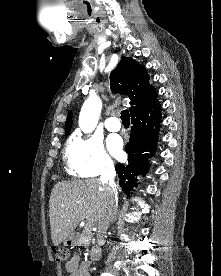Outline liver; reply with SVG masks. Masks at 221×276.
<instances>
[{
    "mask_svg": "<svg viewBox=\"0 0 221 276\" xmlns=\"http://www.w3.org/2000/svg\"><path fill=\"white\" fill-rule=\"evenodd\" d=\"M107 188L100 179L61 181L49 200L51 238L55 246L67 239L80 221L98 222L105 210Z\"/></svg>",
    "mask_w": 221,
    "mask_h": 276,
    "instance_id": "1",
    "label": "liver"
}]
</instances>
